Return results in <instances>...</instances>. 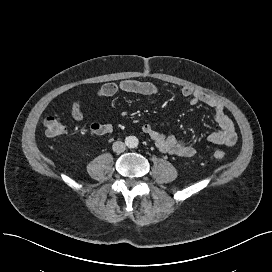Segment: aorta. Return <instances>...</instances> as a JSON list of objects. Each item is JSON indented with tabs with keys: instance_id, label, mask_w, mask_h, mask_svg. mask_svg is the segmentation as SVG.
<instances>
[{
	"instance_id": "aorta-1",
	"label": "aorta",
	"mask_w": 272,
	"mask_h": 272,
	"mask_svg": "<svg viewBox=\"0 0 272 272\" xmlns=\"http://www.w3.org/2000/svg\"><path fill=\"white\" fill-rule=\"evenodd\" d=\"M139 140L136 136H128L126 138V144L130 148H135L138 146Z\"/></svg>"
}]
</instances>
